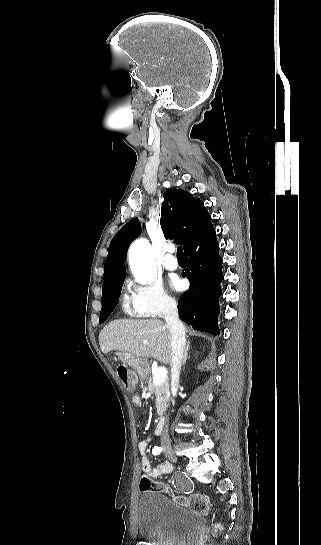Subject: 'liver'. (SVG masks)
<instances>
[{
    "instance_id": "obj_1",
    "label": "liver",
    "mask_w": 321,
    "mask_h": 545,
    "mask_svg": "<svg viewBox=\"0 0 321 545\" xmlns=\"http://www.w3.org/2000/svg\"><path fill=\"white\" fill-rule=\"evenodd\" d=\"M102 353L124 351L134 357H154L160 363H171L170 329L159 319H118L103 327L99 335Z\"/></svg>"
}]
</instances>
